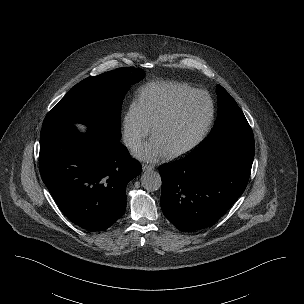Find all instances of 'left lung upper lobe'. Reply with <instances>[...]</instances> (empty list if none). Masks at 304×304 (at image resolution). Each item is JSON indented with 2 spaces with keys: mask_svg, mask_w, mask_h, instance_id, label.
Returning <instances> with one entry per match:
<instances>
[{
  "mask_svg": "<svg viewBox=\"0 0 304 304\" xmlns=\"http://www.w3.org/2000/svg\"><path fill=\"white\" fill-rule=\"evenodd\" d=\"M218 115L210 135L195 150L200 151L232 138H253L252 129L235 100L220 85L217 86Z\"/></svg>",
  "mask_w": 304,
  "mask_h": 304,
  "instance_id": "1",
  "label": "left lung upper lobe"
}]
</instances>
